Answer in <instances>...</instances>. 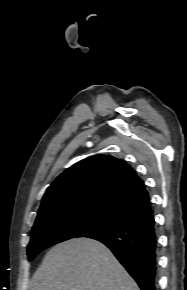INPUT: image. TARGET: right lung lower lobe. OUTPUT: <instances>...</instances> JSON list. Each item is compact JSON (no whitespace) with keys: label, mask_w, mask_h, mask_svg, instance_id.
<instances>
[{"label":"right lung lower lobe","mask_w":187,"mask_h":290,"mask_svg":"<svg viewBox=\"0 0 187 290\" xmlns=\"http://www.w3.org/2000/svg\"><path fill=\"white\" fill-rule=\"evenodd\" d=\"M87 237L104 243L141 290H156L158 247L153 213Z\"/></svg>","instance_id":"obj_1"}]
</instances>
